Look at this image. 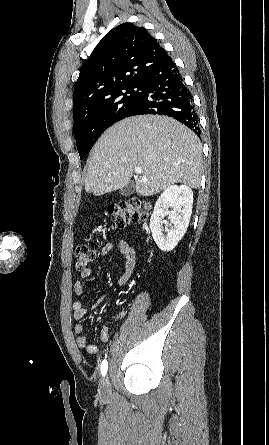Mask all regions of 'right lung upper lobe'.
I'll return each instance as SVG.
<instances>
[{
    "label": "right lung upper lobe",
    "mask_w": 269,
    "mask_h": 445,
    "mask_svg": "<svg viewBox=\"0 0 269 445\" xmlns=\"http://www.w3.org/2000/svg\"><path fill=\"white\" fill-rule=\"evenodd\" d=\"M170 57L143 27L123 23L110 30L82 65L74 88V108L122 86L141 84Z\"/></svg>",
    "instance_id": "cb5924a9"
}]
</instances>
